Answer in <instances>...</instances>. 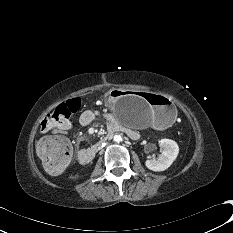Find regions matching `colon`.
I'll use <instances>...</instances> for the list:
<instances>
[{
	"instance_id": "colon-1",
	"label": "colon",
	"mask_w": 233,
	"mask_h": 233,
	"mask_svg": "<svg viewBox=\"0 0 233 233\" xmlns=\"http://www.w3.org/2000/svg\"><path fill=\"white\" fill-rule=\"evenodd\" d=\"M82 106L80 98H72L56 107L41 123V128L48 135L42 137L36 146L43 167L50 174L61 173L69 164L72 157L70 142L63 136L54 134L69 126V119Z\"/></svg>"
}]
</instances>
